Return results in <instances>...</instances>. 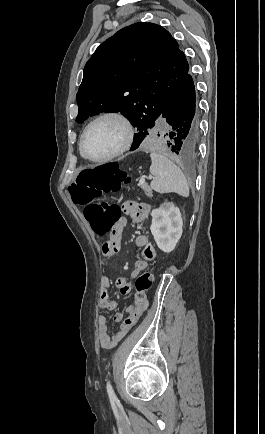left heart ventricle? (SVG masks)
<instances>
[{
  "instance_id": "left-heart-ventricle-1",
  "label": "left heart ventricle",
  "mask_w": 265,
  "mask_h": 434,
  "mask_svg": "<svg viewBox=\"0 0 265 434\" xmlns=\"http://www.w3.org/2000/svg\"><path fill=\"white\" fill-rule=\"evenodd\" d=\"M123 140L122 123L115 119H104L89 130L83 143V150L88 157L100 159L117 150Z\"/></svg>"
}]
</instances>
